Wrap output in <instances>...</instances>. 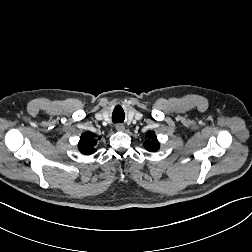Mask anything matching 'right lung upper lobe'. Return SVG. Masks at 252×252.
Listing matches in <instances>:
<instances>
[{
	"instance_id": "1",
	"label": "right lung upper lobe",
	"mask_w": 252,
	"mask_h": 252,
	"mask_svg": "<svg viewBox=\"0 0 252 252\" xmlns=\"http://www.w3.org/2000/svg\"><path fill=\"white\" fill-rule=\"evenodd\" d=\"M94 137L95 135L91 132H85L81 135L78 143V149L81 153L90 155L96 152L94 146L97 144V140Z\"/></svg>"
}]
</instances>
